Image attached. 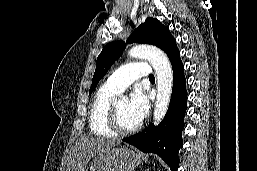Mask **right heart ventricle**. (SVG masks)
<instances>
[{"mask_svg":"<svg viewBox=\"0 0 257 171\" xmlns=\"http://www.w3.org/2000/svg\"><path fill=\"white\" fill-rule=\"evenodd\" d=\"M118 94V91L110 88L106 83L95 93L88 115L89 127L94 135L101 137L116 135L109 127L108 116L110 104Z\"/></svg>","mask_w":257,"mask_h":171,"instance_id":"obj_1","label":"right heart ventricle"}]
</instances>
